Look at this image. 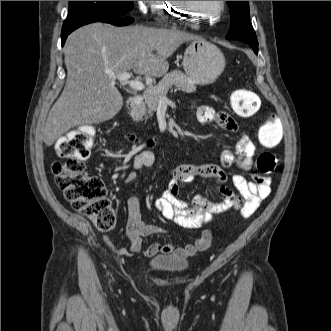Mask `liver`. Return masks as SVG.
Listing matches in <instances>:
<instances>
[{
    "instance_id": "liver-1",
    "label": "liver",
    "mask_w": 331,
    "mask_h": 331,
    "mask_svg": "<svg viewBox=\"0 0 331 331\" xmlns=\"http://www.w3.org/2000/svg\"><path fill=\"white\" fill-rule=\"evenodd\" d=\"M198 39L180 30L99 22L74 31L66 41V84L43 130L46 146L73 127L107 121L121 110L123 98L110 75L133 70L138 75L161 77L175 50Z\"/></svg>"
}]
</instances>
